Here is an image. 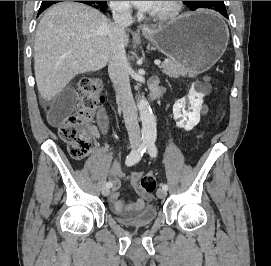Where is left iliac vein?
<instances>
[{
	"instance_id": "left-iliac-vein-1",
	"label": "left iliac vein",
	"mask_w": 271,
	"mask_h": 266,
	"mask_svg": "<svg viewBox=\"0 0 271 266\" xmlns=\"http://www.w3.org/2000/svg\"><path fill=\"white\" fill-rule=\"evenodd\" d=\"M166 195H167V192L163 188H159L157 190V196H158V198L163 199V198L166 197Z\"/></svg>"
}]
</instances>
